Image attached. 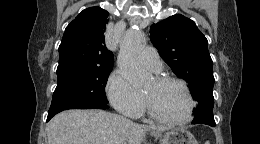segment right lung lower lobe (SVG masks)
<instances>
[{"instance_id": "98d812e1", "label": "right lung lower lobe", "mask_w": 260, "mask_h": 144, "mask_svg": "<svg viewBox=\"0 0 260 144\" xmlns=\"http://www.w3.org/2000/svg\"><path fill=\"white\" fill-rule=\"evenodd\" d=\"M108 109V105L107 104H104V105H97V106H94V107H91L89 109ZM53 116H48L47 120H50Z\"/></svg>"}]
</instances>
